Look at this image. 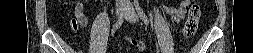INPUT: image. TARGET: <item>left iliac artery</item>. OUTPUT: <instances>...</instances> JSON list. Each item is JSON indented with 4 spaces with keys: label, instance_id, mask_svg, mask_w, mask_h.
<instances>
[{
    "label": "left iliac artery",
    "instance_id": "1",
    "mask_svg": "<svg viewBox=\"0 0 253 53\" xmlns=\"http://www.w3.org/2000/svg\"><path fill=\"white\" fill-rule=\"evenodd\" d=\"M135 4H136V10L139 14V17L141 18V20L146 24L148 25L149 24V19L148 17L146 16V14L143 12V10L140 8V6L138 5V2L135 1Z\"/></svg>",
    "mask_w": 253,
    "mask_h": 53
}]
</instances>
